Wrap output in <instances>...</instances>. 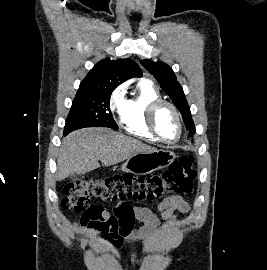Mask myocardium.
<instances>
[{
    "instance_id": "1",
    "label": "myocardium",
    "mask_w": 267,
    "mask_h": 270,
    "mask_svg": "<svg viewBox=\"0 0 267 270\" xmlns=\"http://www.w3.org/2000/svg\"><path fill=\"white\" fill-rule=\"evenodd\" d=\"M162 107H169L177 120L178 123V136L174 141H168L165 140L158 132L157 127H156V115L157 112L162 108ZM146 124L147 127L149 129V131L151 132V134L155 137V139L163 144L166 145H175L176 143H178L182 137L183 134V123H182V119H181V115L178 111V109L176 108L175 105H173L172 103L165 101V100H156L153 101L147 109V114H146Z\"/></svg>"
}]
</instances>
